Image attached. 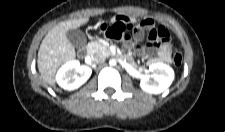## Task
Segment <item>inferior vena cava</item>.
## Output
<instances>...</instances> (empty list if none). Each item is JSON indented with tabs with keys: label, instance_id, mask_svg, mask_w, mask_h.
I'll list each match as a JSON object with an SVG mask.
<instances>
[{
	"label": "inferior vena cava",
	"instance_id": "1",
	"mask_svg": "<svg viewBox=\"0 0 225 132\" xmlns=\"http://www.w3.org/2000/svg\"><path fill=\"white\" fill-rule=\"evenodd\" d=\"M92 60H93V63L95 64H101L105 61V57L102 55H95L93 56Z\"/></svg>",
	"mask_w": 225,
	"mask_h": 132
}]
</instances>
